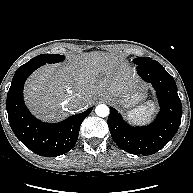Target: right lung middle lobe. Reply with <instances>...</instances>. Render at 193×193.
Returning a JSON list of instances; mask_svg holds the SVG:
<instances>
[{
    "mask_svg": "<svg viewBox=\"0 0 193 193\" xmlns=\"http://www.w3.org/2000/svg\"><path fill=\"white\" fill-rule=\"evenodd\" d=\"M64 56L59 54H42L31 59L28 64H46V63H57L63 61Z\"/></svg>",
    "mask_w": 193,
    "mask_h": 193,
    "instance_id": "right-lung-middle-lobe-1",
    "label": "right lung middle lobe"
}]
</instances>
